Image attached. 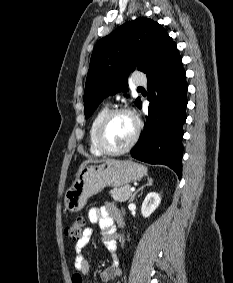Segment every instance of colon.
I'll list each match as a JSON object with an SVG mask.
<instances>
[{
  "label": "colon",
  "instance_id": "5ec220e1",
  "mask_svg": "<svg viewBox=\"0 0 233 283\" xmlns=\"http://www.w3.org/2000/svg\"><path fill=\"white\" fill-rule=\"evenodd\" d=\"M84 225L83 217H77L65 228V235L73 240L79 239L84 231Z\"/></svg>",
  "mask_w": 233,
  "mask_h": 283
}]
</instances>
